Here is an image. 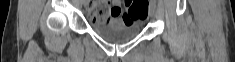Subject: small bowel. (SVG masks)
<instances>
[{
  "label": "small bowel",
  "instance_id": "1",
  "mask_svg": "<svg viewBox=\"0 0 235 62\" xmlns=\"http://www.w3.org/2000/svg\"><path fill=\"white\" fill-rule=\"evenodd\" d=\"M89 19L92 22H105V23H128L126 15H121V1L113 0L110 8H103L99 3H94L88 11ZM131 23V21L129 22Z\"/></svg>",
  "mask_w": 235,
  "mask_h": 62
}]
</instances>
